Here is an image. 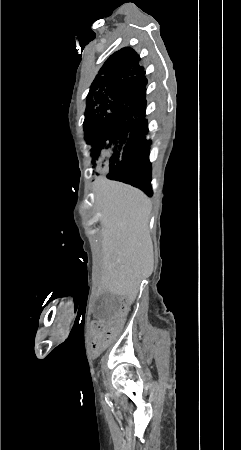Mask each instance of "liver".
<instances>
[{"label":"liver","mask_w":241,"mask_h":450,"mask_svg":"<svg viewBox=\"0 0 241 450\" xmlns=\"http://www.w3.org/2000/svg\"><path fill=\"white\" fill-rule=\"evenodd\" d=\"M93 192L102 214L101 280L109 292L134 302L142 280L154 268L148 228L152 202L141 190L105 176L96 178Z\"/></svg>","instance_id":"liver-1"}]
</instances>
